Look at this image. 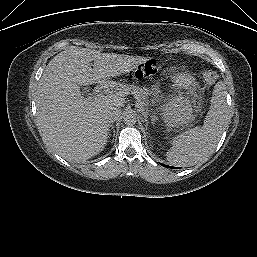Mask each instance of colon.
<instances>
[{
    "mask_svg": "<svg viewBox=\"0 0 257 257\" xmlns=\"http://www.w3.org/2000/svg\"><path fill=\"white\" fill-rule=\"evenodd\" d=\"M159 70V65L156 61L150 60L138 66L132 73L134 79H143L155 75ZM219 75L214 71H206L203 75V81L206 86H212L219 80Z\"/></svg>",
    "mask_w": 257,
    "mask_h": 257,
    "instance_id": "5ec220e1",
    "label": "colon"
}]
</instances>
